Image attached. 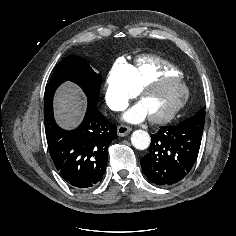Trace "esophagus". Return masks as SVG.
Instances as JSON below:
<instances>
[{
	"label": "esophagus",
	"instance_id": "34e87169",
	"mask_svg": "<svg viewBox=\"0 0 236 236\" xmlns=\"http://www.w3.org/2000/svg\"><path fill=\"white\" fill-rule=\"evenodd\" d=\"M131 130L132 129L129 126H127V125H120L117 128V134L119 136H126V135H128L130 133Z\"/></svg>",
	"mask_w": 236,
	"mask_h": 236
}]
</instances>
